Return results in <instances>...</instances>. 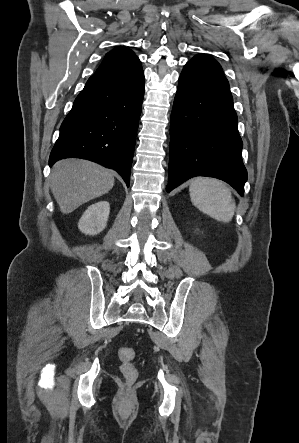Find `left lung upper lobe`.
I'll return each mask as SVG.
<instances>
[{
	"mask_svg": "<svg viewBox=\"0 0 299 443\" xmlns=\"http://www.w3.org/2000/svg\"><path fill=\"white\" fill-rule=\"evenodd\" d=\"M188 64L196 65L198 67L212 71L214 73L224 75L220 64L216 60H214L212 57L205 55V54H199V55L194 56L188 62Z\"/></svg>",
	"mask_w": 299,
	"mask_h": 443,
	"instance_id": "obj_1",
	"label": "left lung upper lobe"
}]
</instances>
